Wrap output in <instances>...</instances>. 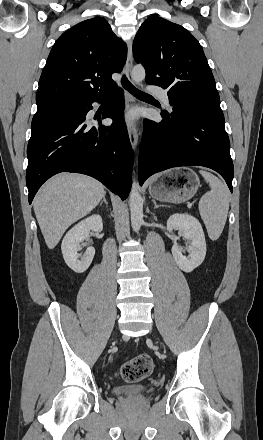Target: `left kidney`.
<instances>
[{"label":"left kidney","instance_id":"left-kidney-1","mask_svg":"<svg viewBox=\"0 0 263 440\" xmlns=\"http://www.w3.org/2000/svg\"><path fill=\"white\" fill-rule=\"evenodd\" d=\"M167 230L169 232L182 231L189 243L188 257L182 254V249L177 244L172 246V255L178 267L190 273L201 265L206 255V241L200 222L192 215L176 213L167 220Z\"/></svg>","mask_w":263,"mask_h":440}]
</instances>
